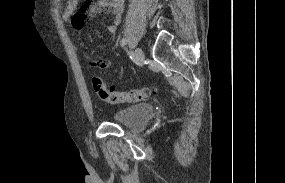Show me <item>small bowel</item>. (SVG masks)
Instances as JSON below:
<instances>
[{
    "mask_svg": "<svg viewBox=\"0 0 285 183\" xmlns=\"http://www.w3.org/2000/svg\"><path fill=\"white\" fill-rule=\"evenodd\" d=\"M124 1L125 0H96L93 3L85 4L81 11L75 14L78 0H71L65 5L63 18L69 22L75 30L79 31L83 28L88 19L101 14L110 13L114 16V20L107 29L114 39L118 32V25L124 10ZM85 59L88 67L98 71H105L114 65V61L110 59H95L90 55H86Z\"/></svg>",
    "mask_w": 285,
    "mask_h": 183,
    "instance_id": "small-bowel-1",
    "label": "small bowel"
}]
</instances>
